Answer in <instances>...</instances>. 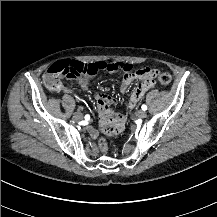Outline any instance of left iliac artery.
Masks as SVG:
<instances>
[{
    "label": "left iliac artery",
    "mask_w": 217,
    "mask_h": 217,
    "mask_svg": "<svg viewBox=\"0 0 217 217\" xmlns=\"http://www.w3.org/2000/svg\"><path fill=\"white\" fill-rule=\"evenodd\" d=\"M141 108H142V110H144V111L147 110V106L144 105V104L141 106Z\"/></svg>",
    "instance_id": "left-iliac-artery-1"
}]
</instances>
